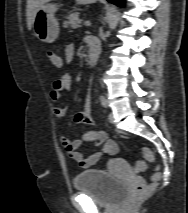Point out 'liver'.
Returning <instances> with one entry per match:
<instances>
[{"label":"liver","mask_w":188,"mask_h":213,"mask_svg":"<svg viewBox=\"0 0 188 213\" xmlns=\"http://www.w3.org/2000/svg\"><path fill=\"white\" fill-rule=\"evenodd\" d=\"M48 1L49 0H27L26 16H27V27L29 30H31L33 27L35 14L39 6Z\"/></svg>","instance_id":"liver-1"}]
</instances>
